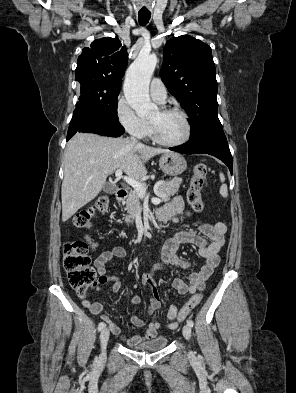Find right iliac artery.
<instances>
[{
  "label": "right iliac artery",
  "instance_id": "obj_1",
  "mask_svg": "<svg viewBox=\"0 0 296 393\" xmlns=\"http://www.w3.org/2000/svg\"><path fill=\"white\" fill-rule=\"evenodd\" d=\"M104 327H105V323L104 322H100L99 325H98V330L101 331Z\"/></svg>",
  "mask_w": 296,
  "mask_h": 393
}]
</instances>
